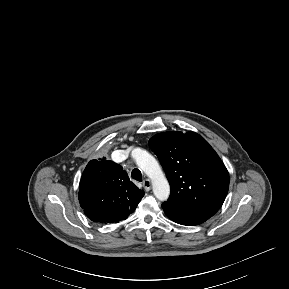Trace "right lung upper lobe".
<instances>
[{
  "label": "right lung upper lobe",
  "instance_id": "right-lung-upper-lobe-1",
  "mask_svg": "<svg viewBox=\"0 0 289 289\" xmlns=\"http://www.w3.org/2000/svg\"><path fill=\"white\" fill-rule=\"evenodd\" d=\"M144 196L119 164L91 160L83 171L78 199L90 220L113 223L126 219Z\"/></svg>",
  "mask_w": 289,
  "mask_h": 289
}]
</instances>
